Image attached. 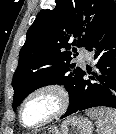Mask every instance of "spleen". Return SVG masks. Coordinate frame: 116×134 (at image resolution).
Returning a JSON list of instances; mask_svg holds the SVG:
<instances>
[{
  "label": "spleen",
  "mask_w": 116,
  "mask_h": 134,
  "mask_svg": "<svg viewBox=\"0 0 116 134\" xmlns=\"http://www.w3.org/2000/svg\"><path fill=\"white\" fill-rule=\"evenodd\" d=\"M87 115L95 120L99 134H116V110L99 108L88 110Z\"/></svg>",
  "instance_id": "spleen-1"
}]
</instances>
